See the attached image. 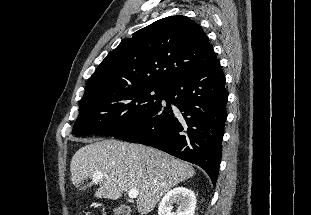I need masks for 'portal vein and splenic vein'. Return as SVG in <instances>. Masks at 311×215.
<instances>
[{
	"label": "portal vein and splenic vein",
	"instance_id": "obj_1",
	"mask_svg": "<svg viewBox=\"0 0 311 215\" xmlns=\"http://www.w3.org/2000/svg\"><path fill=\"white\" fill-rule=\"evenodd\" d=\"M105 175L102 173V172H96V173H94V175H93V181L94 182H98V181H100L103 177H104ZM138 195H139V191L137 190V189H130L129 191H128V196H129V198L130 199H135V198H137L138 197Z\"/></svg>",
	"mask_w": 311,
	"mask_h": 215
}]
</instances>
